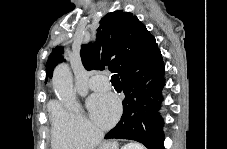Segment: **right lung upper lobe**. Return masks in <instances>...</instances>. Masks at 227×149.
<instances>
[{"label":"right lung upper lobe","mask_w":227,"mask_h":149,"mask_svg":"<svg viewBox=\"0 0 227 149\" xmlns=\"http://www.w3.org/2000/svg\"><path fill=\"white\" fill-rule=\"evenodd\" d=\"M62 53L63 48L57 47L48 58L46 73L50 78L58 62L64 61ZM80 55L85 69L108 66L121 79L161 57L154 36L136 16L122 10L108 13L101 19L96 42L82 45Z\"/></svg>","instance_id":"obj_1"}]
</instances>
